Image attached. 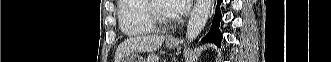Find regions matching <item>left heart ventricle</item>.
<instances>
[{
  "label": "left heart ventricle",
  "mask_w": 331,
  "mask_h": 62,
  "mask_svg": "<svg viewBox=\"0 0 331 62\" xmlns=\"http://www.w3.org/2000/svg\"><path fill=\"white\" fill-rule=\"evenodd\" d=\"M160 13L166 17L171 18L173 15L169 12L168 3L166 1H158L157 3Z\"/></svg>",
  "instance_id": "1"
}]
</instances>
